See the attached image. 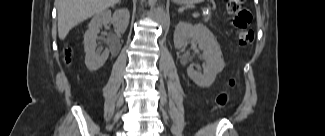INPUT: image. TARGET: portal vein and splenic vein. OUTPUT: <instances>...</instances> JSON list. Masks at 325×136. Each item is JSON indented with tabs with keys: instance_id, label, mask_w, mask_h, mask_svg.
<instances>
[{
	"instance_id": "18ae733b",
	"label": "portal vein and splenic vein",
	"mask_w": 325,
	"mask_h": 136,
	"mask_svg": "<svg viewBox=\"0 0 325 136\" xmlns=\"http://www.w3.org/2000/svg\"><path fill=\"white\" fill-rule=\"evenodd\" d=\"M193 16H199V13L198 12H195L194 14H193Z\"/></svg>"
}]
</instances>
